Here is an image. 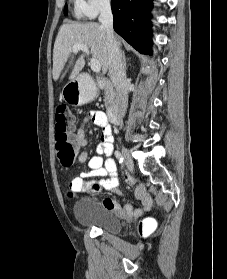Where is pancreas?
I'll return each mask as SVG.
<instances>
[{"label": "pancreas", "instance_id": "pancreas-1", "mask_svg": "<svg viewBox=\"0 0 227 279\" xmlns=\"http://www.w3.org/2000/svg\"><path fill=\"white\" fill-rule=\"evenodd\" d=\"M104 102L106 107L115 103V94L111 84H106L104 87Z\"/></svg>", "mask_w": 227, "mask_h": 279}]
</instances>
